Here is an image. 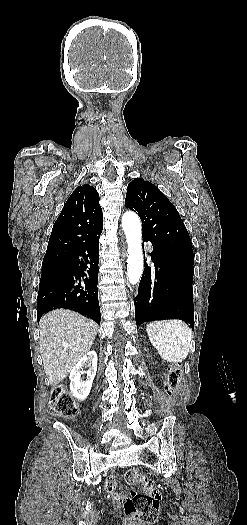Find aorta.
<instances>
[{"label": "aorta", "mask_w": 247, "mask_h": 525, "mask_svg": "<svg viewBox=\"0 0 247 525\" xmlns=\"http://www.w3.org/2000/svg\"><path fill=\"white\" fill-rule=\"evenodd\" d=\"M122 226L128 245L127 278L130 284L135 285L143 272L142 227L138 215L134 212L124 213Z\"/></svg>", "instance_id": "obj_1"}]
</instances>
